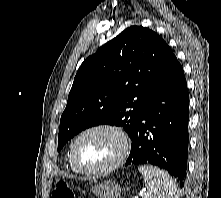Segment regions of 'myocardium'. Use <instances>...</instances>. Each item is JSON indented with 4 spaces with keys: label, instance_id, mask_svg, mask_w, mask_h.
<instances>
[{
    "label": "myocardium",
    "instance_id": "myocardium-1",
    "mask_svg": "<svg viewBox=\"0 0 221 198\" xmlns=\"http://www.w3.org/2000/svg\"><path fill=\"white\" fill-rule=\"evenodd\" d=\"M95 131H109L113 133L119 139L121 147L117 157L111 163L98 169H88L78 163L76 158V145L83 136ZM129 152L130 140L122 128L114 124L99 123L89 126L77 134L71 143L69 154L71 163L78 172L89 176H100L120 167L127 159Z\"/></svg>",
    "mask_w": 221,
    "mask_h": 198
}]
</instances>
